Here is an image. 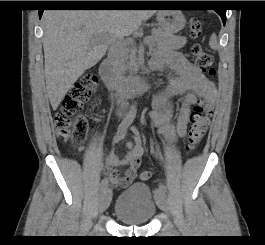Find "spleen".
<instances>
[{
    "label": "spleen",
    "mask_w": 265,
    "mask_h": 245,
    "mask_svg": "<svg viewBox=\"0 0 265 245\" xmlns=\"http://www.w3.org/2000/svg\"><path fill=\"white\" fill-rule=\"evenodd\" d=\"M210 47L214 50H216L218 48V44H217V37L215 34H213L211 36V39H210Z\"/></svg>",
    "instance_id": "spleen-1"
}]
</instances>
